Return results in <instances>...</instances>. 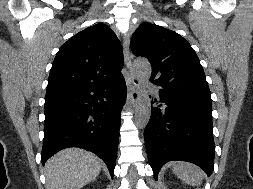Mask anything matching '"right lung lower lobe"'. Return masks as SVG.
Listing matches in <instances>:
<instances>
[{
    "label": "right lung lower lobe",
    "mask_w": 253,
    "mask_h": 189,
    "mask_svg": "<svg viewBox=\"0 0 253 189\" xmlns=\"http://www.w3.org/2000/svg\"><path fill=\"white\" fill-rule=\"evenodd\" d=\"M125 100L122 75L103 84L47 91L42 164L63 148L82 147L98 155L113 177Z\"/></svg>",
    "instance_id": "98d812e1"
}]
</instances>
